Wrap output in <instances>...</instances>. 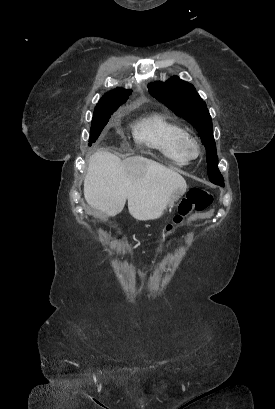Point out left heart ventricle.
Listing matches in <instances>:
<instances>
[{
    "label": "left heart ventricle",
    "mask_w": 275,
    "mask_h": 409,
    "mask_svg": "<svg viewBox=\"0 0 275 409\" xmlns=\"http://www.w3.org/2000/svg\"><path fill=\"white\" fill-rule=\"evenodd\" d=\"M184 152L186 154H191L193 152V149H192V147L190 145H185L184 146Z\"/></svg>",
    "instance_id": "obj_1"
}]
</instances>
